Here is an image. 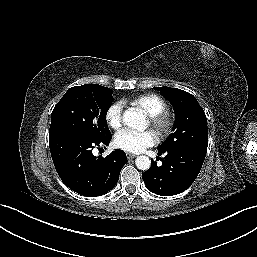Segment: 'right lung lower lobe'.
<instances>
[{
  "label": "right lung lower lobe",
  "mask_w": 257,
  "mask_h": 257,
  "mask_svg": "<svg viewBox=\"0 0 257 257\" xmlns=\"http://www.w3.org/2000/svg\"><path fill=\"white\" fill-rule=\"evenodd\" d=\"M112 136L98 140L81 133L64 132L49 136L52 160L61 180L74 192L87 197L113 189L123 166L124 151L115 150L105 158L95 157V145H108Z\"/></svg>",
  "instance_id": "1"
}]
</instances>
